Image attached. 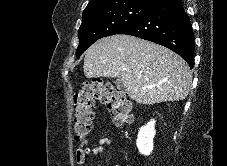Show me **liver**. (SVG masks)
Wrapping results in <instances>:
<instances>
[{
    "mask_svg": "<svg viewBox=\"0 0 227 166\" xmlns=\"http://www.w3.org/2000/svg\"><path fill=\"white\" fill-rule=\"evenodd\" d=\"M87 78H119L128 96L140 104L179 101L187 97L192 72L170 49L129 35L102 38L85 52Z\"/></svg>",
    "mask_w": 227,
    "mask_h": 166,
    "instance_id": "6515ba94",
    "label": "liver"
}]
</instances>
